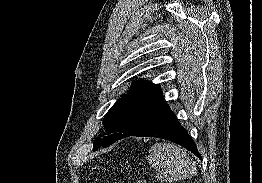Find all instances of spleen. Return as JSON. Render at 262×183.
<instances>
[{"mask_svg": "<svg viewBox=\"0 0 262 183\" xmlns=\"http://www.w3.org/2000/svg\"><path fill=\"white\" fill-rule=\"evenodd\" d=\"M148 162L158 168L156 179L172 183L190 178L195 173V164L185 150L169 143H156L149 150Z\"/></svg>", "mask_w": 262, "mask_h": 183, "instance_id": "3e777b00", "label": "spleen"}]
</instances>
